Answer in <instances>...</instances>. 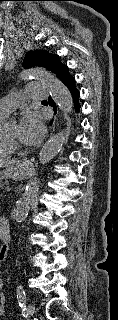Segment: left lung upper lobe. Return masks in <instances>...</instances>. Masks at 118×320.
<instances>
[{
  "label": "left lung upper lobe",
  "mask_w": 118,
  "mask_h": 320,
  "mask_svg": "<svg viewBox=\"0 0 118 320\" xmlns=\"http://www.w3.org/2000/svg\"><path fill=\"white\" fill-rule=\"evenodd\" d=\"M25 68L33 66H41L54 72L59 79H61L68 71V67L59 61L58 55L50 54L47 51H29L25 55L23 61Z\"/></svg>",
  "instance_id": "1"
}]
</instances>
